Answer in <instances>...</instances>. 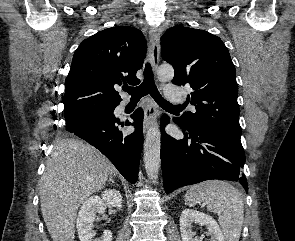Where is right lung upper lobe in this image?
Returning a JSON list of instances; mask_svg holds the SVG:
<instances>
[{
	"label": "right lung upper lobe",
	"instance_id": "cb5924a9",
	"mask_svg": "<svg viewBox=\"0 0 295 241\" xmlns=\"http://www.w3.org/2000/svg\"><path fill=\"white\" fill-rule=\"evenodd\" d=\"M146 40L134 27L102 30L81 42L66 78L64 112L118 105L114 85L138 84L136 72L146 57Z\"/></svg>",
	"mask_w": 295,
	"mask_h": 241
}]
</instances>
